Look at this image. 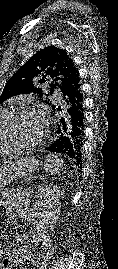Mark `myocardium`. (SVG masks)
<instances>
[{
	"label": "myocardium",
	"mask_w": 118,
	"mask_h": 269,
	"mask_svg": "<svg viewBox=\"0 0 118 269\" xmlns=\"http://www.w3.org/2000/svg\"><path fill=\"white\" fill-rule=\"evenodd\" d=\"M34 109L30 106H22L20 108H17L15 110H12L7 114L5 119L0 125V141L1 145L3 146L4 149H32L35 148L39 145H41L46 137L47 133V122H46V129L41 136V138L35 142H25V141H20L17 139H14L10 134V130L12 128V125L14 122L24 114L28 112H33Z\"/></svg>",
	"instance_id": "1"
}]
</instances>
